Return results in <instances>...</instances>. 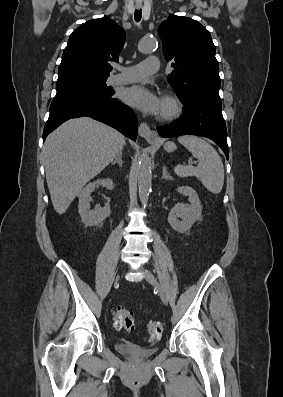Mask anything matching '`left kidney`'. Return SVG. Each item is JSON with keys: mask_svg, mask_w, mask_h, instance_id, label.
<instances>
[{"mask_svg": "<svg viewBox=\"0 0 283 397\" xmlns=\"http://www.w3.org/2000/svg\"><path fill=\"white\" fill-rule=\"evenodd\" d=\"M177 191L180 194L188 196L190 205L177 203L168 215V223L175 231L185 233L190 230L196 220L201 218L202 206L193 188L181 186L177 188Z\"/></svg>", "mask_w": 283, "mask_h": 397, "instance_id": "left-kidney-1", "label": "left kidney"}]
</instances>
